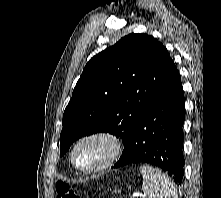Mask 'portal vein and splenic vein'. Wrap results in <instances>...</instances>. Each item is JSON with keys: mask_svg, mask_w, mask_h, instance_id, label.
<instances>
[{"mask_svg": "<svg viewBox=\"0 0 221 198\" xmlns=\"http://www.w3.org/2000/svg\"><path fill=\"white\" fill-rule=\"evenodd\" d=\"M137 197L145 198L143 195H141V196H139V194H134V195H133V198H137Z\"/></svg>", "mask_w": 221, "mask_h": 198, "instance_id": "18ae733b", "label": "portal vein and splenic vein"}]
</instances>
